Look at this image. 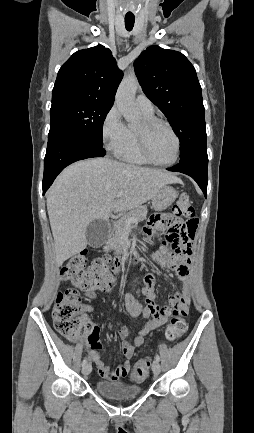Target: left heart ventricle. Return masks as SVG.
<instances>
[{
    "mask_svg": "<svg viewBox=\"0 0 254 433\" xmlns=\"http://www.w3.org/2000/svg\"><path fill=\"white\" fill-rule=\"evenodd\" d=\"M143 128V123L138 129ZM149 150L159 162H170L176 153V141L164 126H157L148 133Z\"/></svg>",
    "mask_w": 254,
    "mask_h": 433,
    "instance_id": "b2bd125f",
    "label": "left heart ventricle"
}]
</instances>
